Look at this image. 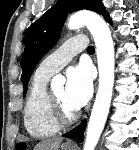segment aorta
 <instances>
[{
    "label": "aorta",
    "mask_w": 139,
    "mask_h": 150,
    "mask_svg": "<svg viewBox=\"0 0 139 150\" xmlns=\"http://www.w3.org/2000/svg\"><path fill=\"white\" fill-rule=\"evenodd\" d=\"M86 26L96 45L99 85L91 116L87 125L83 150H95L110 109L114 85V44L111 31L104 19L95 12L84 10L73 14L68 20L69 29Z\"/></svg>",
    "instance_id": "762f6f07"
}]
</instances>
